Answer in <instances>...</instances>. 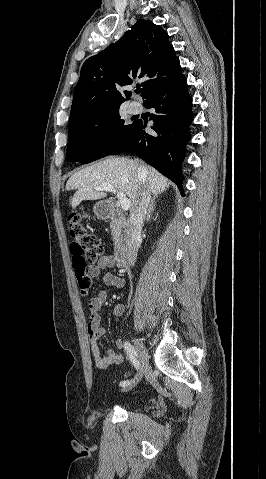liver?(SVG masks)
<instances>
[{
	"label": "liver",
	"instance_id": "1",
	"mask_svg": "<svg viewBox=\"0 0 266 479\" xmlns=\"http://www.w3.org/2000/svg\"><path fill=\"white\" fill-rule=\"evenodd\" d=\"M142 166L140 174L138 168ZM149 184L150 192L157 196L171 183L166 177L149 166L124 157H109L74 173L66 183V190L75 189L71 206L75 209L83 200H99L107 196L95 187L103 184L112 185L116 190L127 195L134 206L141 182Z\"/></svg>",
	"mask_w": 266,
	"mask_h": 479
}]
</instances>
